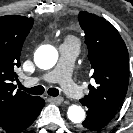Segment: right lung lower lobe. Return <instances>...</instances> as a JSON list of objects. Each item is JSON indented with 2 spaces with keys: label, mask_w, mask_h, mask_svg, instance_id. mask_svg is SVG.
Wrapping results in <instances>:
<instances>
[{
  "label": "right lung lower lobe",
  "mask_w": 133,
  "mask_h": 133,
  "mask_svg": "<svg viewBox=\"0 0 133 133\" xmlns=\"http://www.w3.org/2000/svg\"><path fill=\"white\" fill-rule=\"evenodd\" d=\"M44 105L45 101L36 97L35 100L26 104L11 121L1 126V129L7 133H17L26 129L34 122Z\"/></svg>",
  "instance_id": "1"
}]
</instances>
